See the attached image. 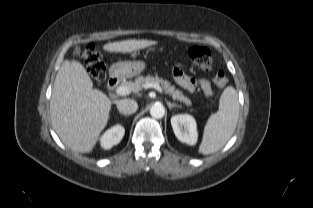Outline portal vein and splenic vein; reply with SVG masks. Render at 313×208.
I'll return each instance as SVG.
<instances>
[{"label": "portal vein and splenic vein", "mask_w": 313, "mask_h": 208, "mask_svg": "<svg viewBox=\"0 0 313 208\" xmlns=\"http://www.w3.org/2000/svg\"><path fill=\"white\" fill-rule=\"evenodd\" d=\"M145 88H154V89H156L158 92L163 93V89L161 88V86H160L158 83H147V84L145 85ZM116 93H117L118 95H121V96H126V95H128V94L131 93V90H130V88L127 87V86H118V87L116 88Z\"/></svg>", "instance_id": "portal-vein-and-splenic-vein-1"}]
</instances>
